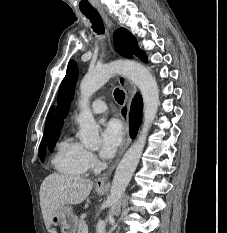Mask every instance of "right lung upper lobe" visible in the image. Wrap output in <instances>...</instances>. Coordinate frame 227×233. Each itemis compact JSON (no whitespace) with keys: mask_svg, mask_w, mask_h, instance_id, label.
Here are the masks:
<instances>
[{"mask_svg":"<svg viewBox=\"0 0 227 233\" xmlns=\"http://www.w3.org/2000/svg\"><path fill=\"white\" fill-rule=\"evenodd\" d=\"M52 113H53V107L50 109V112L47 116L46 127H45V131H44V135H43V139H42V142L40 144V147L42 146V147L46 148L47 140L49 137V127H50L51 121H52Z\"/></svg>","mask_w":227,"mask_h":233,"instance_id":"obj_1","label":"right lung upper lobe"}]
</instances>
